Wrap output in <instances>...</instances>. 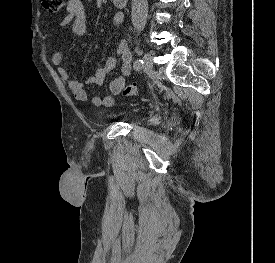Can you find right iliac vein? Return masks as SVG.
I'll return each mask as SVG.
<instances>
[{
  "label": "right iliac vein",
  "instance_id": "63e3f726",
  "mask_svg": "<svg viewBox=\"0 0 275 263\" xmlns=\"http://www.w3.org/2000/svg\"><path fill=\"white\" fill-rule=\"evenodd\" d=\"M143 60H144V65H143V69L146 73L151 72L152 67H153V61H152V57L149 53L145 52L143 55Z\"/></svg>",
  "mask_w": 275,
  "mask_h": 263
}]
</instances>
